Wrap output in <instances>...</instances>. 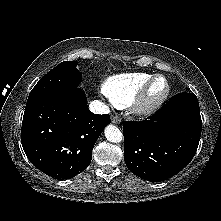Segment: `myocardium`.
<instances>
[{
  "instance_id": "obj_1",
  "label": "myocardium",
  "mask_w": 221,
  "mask_h": 221,
  "mask_svg": "<svg viewBox=\"0 0 221 221\" xmlns=\"http://www.w3.org/2000/svg\"><path fill=\"white\" fill-rule=\"evenodd\" d=\"M158 79H163L166 82L165 92L156 100L150 99V90L154 82ZM171 93V83L169 79L162 74H155L150 77L142 86L137 96L132 102V111L135 115L146 117L157 112L166 102Z\"/></svg>"
}]
</instances>
